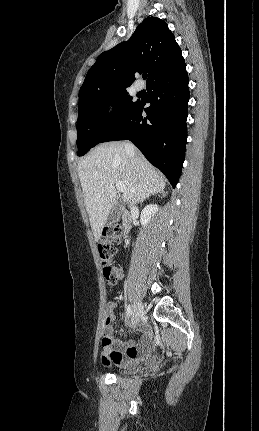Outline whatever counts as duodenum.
Masks as SVG:
<instances>
[{
  "label": "duodenum",
  "instance_id": "1",
  "mask_svg": "<svg viewBox=\"0 0 259 431\" xmlns=\"http://www.w3.org/2000/svg\"><path fill=\"white\" fill-rule=\"evenodd\" d=\"M132 225V220L128 212L123 211L122 214V227L125 231H129Z\"/></svg>",
  "mask_w": 259,
  "mask_h": 431
}]
</instances>
